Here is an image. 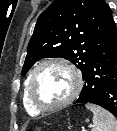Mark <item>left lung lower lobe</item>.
Returning <instances> with one entry per match:
<instances>
[{"label":"left lung lower lobe","mask_w":117,"mask_h":131,"mask_svg":"<svg viewBox=\"0 0 117 131\" xmlns=\"http://www.w3.org/2000/svg\"><path fill=\"white\" fill-rule=\"evenodd\" d=\"M85 82L76 103L99 105L117 117V27L112 18L104 46L83 75Z\"/></svg>","instance_id":"obj_1"}]
</instances>
